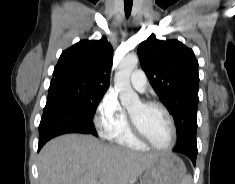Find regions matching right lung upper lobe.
Here are the masks:
<instances>
[{"label": "right lung upper lobe", "instance_id": "obj_1", "mask_svg": "<svg viewBox=\"0 0 235 184\" xmlns=\"http://www.w3.org/2000/svg\"><path fill=\"white\" fill-rule=\"evenodd\" d=\"M112 58L113 48L106 37L76 43L62 52L49 91L71 83L108 87Z\"/></svg>", "mask_w": 235, "mask_h": 184}]
</instances>
